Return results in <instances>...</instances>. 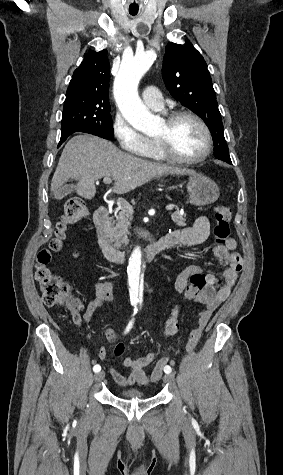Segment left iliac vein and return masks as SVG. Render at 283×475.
Here are the masks:
<instances>
[{
	"label": "left iliac vein",
	"instance_id": "left-iliac-vein-1",
	"mask_svg": "<svg viewBox=\"0 0 283 475\" xmlns=\"http://www.w3.org/2000/svg\"><path fill=\"white\" fill-rule=\"evenodd\" d=\"M174 380H175V378H174V376H173L172 374H165V375L163 376V381H164L165 383H174Z\"/></svg>",
	"mask_w": 283,
	"mask_h": 475
}]
</instances>
